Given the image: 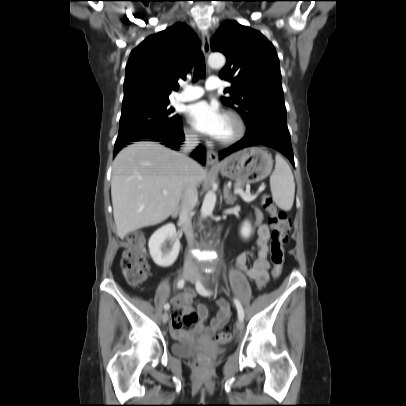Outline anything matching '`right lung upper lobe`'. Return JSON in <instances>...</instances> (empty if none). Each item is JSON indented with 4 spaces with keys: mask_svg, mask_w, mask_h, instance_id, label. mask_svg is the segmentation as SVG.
Instances as JSON below:
<instances>
[{
    "mask_svg": "<svg viewBox=\"0 0 406 406\" xmlns=\"http://www.w3.org/2000/svg\"><path fill=\"white\" fill-rule=\"evenodd\" d=\"M200 41L186 24L177 23L147 37L132 50L126 65L122 106L166 101L179 77L192 68Z\"/></svg>",
    "mask_w": 406,
    "mask_h": 406,
    "instance_id": "right-lung-upper-lobe-1",
    "label": "right lung upper lobe"
}]
</instances>
